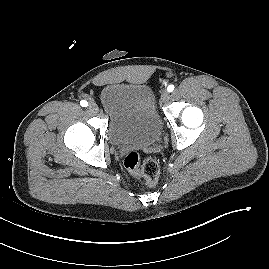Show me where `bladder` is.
Segmentation results:
<instances>
[{
	"label": "bladder",
	"mask_w": 269,
	"mask_h": 269,
	"mask_svg": "<svg viewBox=\"0 0 269 269\" xmlns=\"http://www.w3.org/2000/svg\"><path fill=\"white\" fill-rule=\"evenodd\" d=\"M100 100L109 117L108 134L114 145L147 147L160 138L162 121L149 86L107 84L101 90Z\"/></svg>",
	"instance_id": "obj_1"
}]
</instances>
